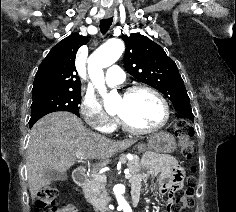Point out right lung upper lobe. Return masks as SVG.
I'll list each match as a JSON object with an SVG mask.
<instances>
[{"label":"right lung upper lobe","mask_w":236,"mask_h":212,"mask_svg":"<svg viewBox=\"0 0 236 212\" xmlns=\"http://www.w3.org/2000/svg\"><path fill=\"white\" fill-rule=\"evenodd\" d=\"M87 42V37L72 33L55 45L38 68L32 94L48 91H81L75 57L78 49Z\"/></svg>","instance_id":"cb5924a9"}]
</instances>
